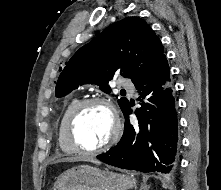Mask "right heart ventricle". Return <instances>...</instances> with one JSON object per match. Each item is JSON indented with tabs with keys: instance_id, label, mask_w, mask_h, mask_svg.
<instances>
[{
	"instance_id": "1",
	"label": "right heart ventricle",
	"mask_w": 221,
	"mask_h": 190,
	"mask_svg": "<svg viewBox=\"0 0 221 190\" xmlns=\"http://www.w3.org/2000/svg\"><path fill=\"white\" fill-rule=\"evenodd\" d=\"M82 101V98L79 96L73 97L65 106L63 109L59 123H58V129H57V140H58V146L60 150L65 154H72L76 153V151L73 149V147L70 145L66 138V132H65V123L68 115L70 112L74 109V107L79 104Z\"/></svg>"
}]
</instances>
